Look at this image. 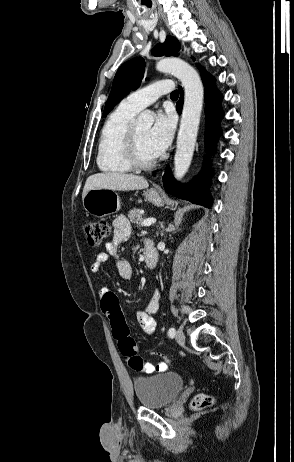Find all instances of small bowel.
<instances>
[{"label":"small bowel","mask_w":294,"mask_h":462,"mask_svg":"<svg viewBox=\"0 0 294 462\" xmlns=\"http://www.w3.org/2000/svg\"><path fill=\"white\" fill-rule=\"evenodd\" d=\"M113 228V240L106 244L104 252H101L96 256L94 262L91 265V271L94 274L99 275L102 265L110 258H114L116 260V267L119 276L124 280H130L133 276V269L131 264L120 256V246L130 237L131 226L124 216H119L115 219ZM110 291L111 289L108 286H103L100 289L101 297ZM160 300L161 294L159 291H156L148 300L145 307L137 312V320L142 330L148 335H152L156 330L157 323L153 317V314L158 311ZM167 369L168 363L166 360H160L157 363L143 361L142 367L135 371L151 374L154 372H164Z\"/></svg>","instance_id":"small-bowel-1"}]
</instances>
